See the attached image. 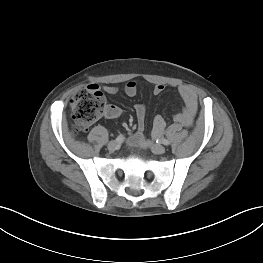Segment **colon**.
Listing matches in <instances>:
<instances>
[{"mask_svg":"<svg viewBox=\"0 0 263 263\" xmlns=\"http://www.w3.org/2000/svg\"><path fill=\"white\" fill-rule=\"evenodd\" d=\"M106 100L94 85L78 91L71 100V109L77 130L83 131L99 119L106 110Z\"/></svg>","mask_w":263,"mask_h":263,"instance_id":"1","label":"colon"}]
</instances>
